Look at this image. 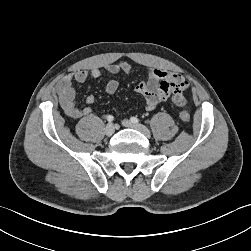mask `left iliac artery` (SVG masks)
I'll return each instance as SVG.
<instances>
[{"instance_id": "44dca946", "label": "left iliac artery", "mask_w": 251, "mask_h": 251, "mask_svg": "<svg viewBox=\"0 0 251 251\" xmlns=\"http://www.w3.org/2000/svg\"><path fill=\"white\" fill-rule=\"evenodd\" d=\"M130 120H131V122H133V123H139V119L136 118V117H131Z\"/></svg>"}]
</instances>
